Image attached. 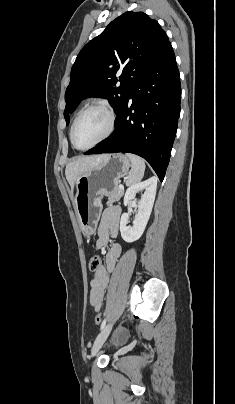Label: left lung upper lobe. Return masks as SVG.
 <instances>
[{
	"label": "left lung upper lobe",
	"mask_w": 235,
	"mask_h": 404,
	"mask_svg": "<svg viewBox=\"0 0 235 404\" xmlns=\"http://www.w3.org/2000/svg\"><path fill=\"white\" fill-rule=\"evenodd\" d=\"M169 43L158 22L143 12H125L113 20L76 58L65 94L66 124L87 97L107 98L118 113L138 77Z\"/></svg>",
	"instance_id": "1"
}]
</instances>
